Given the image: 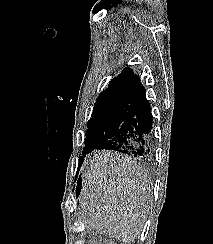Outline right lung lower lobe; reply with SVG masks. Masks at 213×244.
Returning a JSON list of instances; mask_svg holds the SVG:
<instances>
[{
    "label": "right lung lower lobe",
    "mask_w": 213,
    "mask_h": 244,
    "mask_svg": "<svg viewBox=\"0 0 213 244\" xmlns=\"http://www.w3.org/2000/svg\"><path fill=\"white\" fill-rule=\"evenodd\" d=\"M151 129L152 114L150 104L146 99V89H143L136 97L131 117L122 123L114 137L100 143L95 149L114 150L135 157H146L150 151ZM91 151L83 153V157L80 158V165L84 161L85 155ZM79 191L80 188L77 186V194Z\"/></svg>",
    "instance_id": "98d812e1"
}]
</instances>
